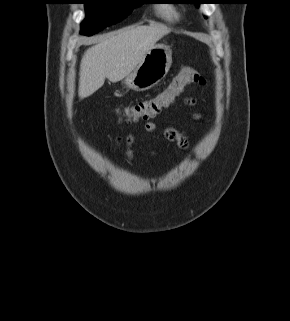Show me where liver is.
Listing matches in <instances>:
<instances>
[{
	"instance_id": "1",
	"label": "liver",
	"mask_w": 290,
	"mask_h": 321,
	"mask_svg": "<svg viewBox=\"0 0 290 321\" xmlns=\"http://www.w3.org/2000/svg\"><path fill=\"white\" fill-rule=\"evenodd\" d=\"M169 32L163 25L152 24L128 27L101 37L82 57L79 98L92 95L103 86L106 78L114 83L127 77Z\"/></svg>"
}]
</instances>
